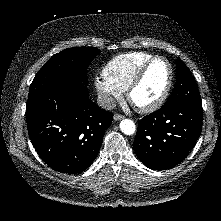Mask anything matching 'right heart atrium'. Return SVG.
<instances>
[{"mask_svg":"<svg viewBox=\"0 0 221 221\" xmlns=\"http://www.w3.org/2000/svg\"><path fill=\"white\" fill-rule=\"evenodd\" d=\"M94 86L101 104L106 108L112 107L115 100L120 99L122 96V91L104 76L96 77Z\"/></svg>","mask_w":221,"mask_h":221,"instance_id":"d8ad5b80","label":"right heart atrium"}]
</instances>
